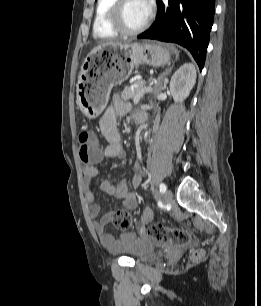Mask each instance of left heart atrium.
<instances>
[{"label": "left heart atrium", "instance_id": "obj_1", "mask_svg": "<svg viewBox=\"0 0 261 306\" xmlns=\"http://www.w3.org/2000/svg\"><path fill=\"white\" fill-rule=\"evenodd\" d=\"M142 2L144 3L145 7L149 11L151 9V6H152L151 0H142Z\"/></svg>", "mask_w": 261, "mask_h": 306}]
</instances>
